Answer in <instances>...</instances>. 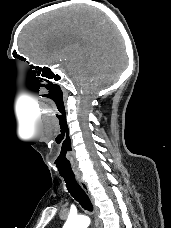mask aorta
I'll list each match as a JSON object with an SVG mask.
<instances>
[{
	"mask_svg": "<svg viewBox=\"0 0 171 228\" xmlns=\"http://www.w3.org/2000/svg\"><path fill=\"white\" fill-rule=\"evenodd\" d=\"M89 224V218L80 215L76 217H69L63 228H88Z\"/></svg>",
	"mask_w": 171,
	"mask_h": 228,
	"instance_id": "obj_1",
	"label": "aorta"
}]
</instances>
